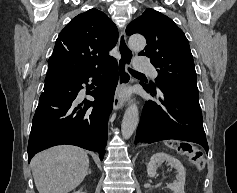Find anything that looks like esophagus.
<instances>
[{
  "mask_svg": "<svg viewBox=\"0 0 237 193\" xmlns=\"http://www.w3.org/2000/svg\"><path fill=\"white\" fill-rule=\"evenodd\" d=\"M118 50L120 54V58L118 61L119 80L113 101L114 110H119L123 107V90L128 87L132 81V77L128 72V67H130L132 62L133 51L129 48L127 44L126 34L124 31H121L119 36Z\"/></svg>",
  "mask_w": 237,
  "mask_h": 193,
  "instance_id": "esophagus-1",
  "label": "esophagus"
}]
</instances>
